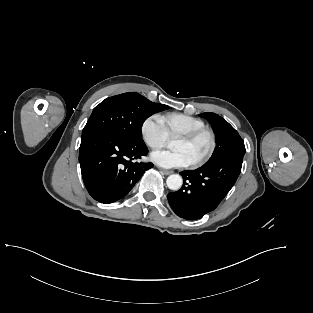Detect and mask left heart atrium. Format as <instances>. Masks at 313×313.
I'll return each mask as SVG.
<instances>
[{"label": "left heart atrium", "instance_id": "left-heart-atrium-1", "mask_svg": "<svg viewBox=\"0 0 313 313\" xmlns=\"http://www.w3.org/2000/svg\"><path fill=\"white\" fill-rule=\"evenodd\" d=\"M150 157L154 163L164 168L187 167L191 164L188 155L179 149L156 150Z\"/></svg>", "mask_w": 313, "mask_h": 313}]
</instances>
